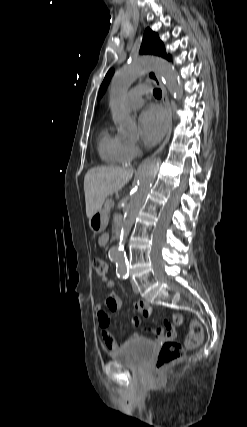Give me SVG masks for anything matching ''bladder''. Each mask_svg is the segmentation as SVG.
I'll list each match as a JSON object with an SVG mask.
<instances>
[{
    "label": "bladder",
    "mask_w": 247,
    "mask_h": 427,
    "mask_svg": "<svg viewBox=\"0 0 247 427\" xmlns=\"http://www.w3.org/2000/svg\"><path fill=\"white\" fill-rule=\"evenodd\" d=\"M156 349L155 343L145 339L132 341L124 347L114 351L111 358L130 369H144Z\"/></svg>",
    "instance_id": "bladder-1"
}]
</instances>
